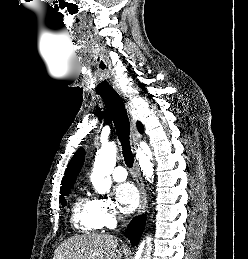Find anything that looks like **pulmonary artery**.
<instances>
[{"instance_id":"pulmonary-artery-1","label":"pulmonary artery","mask_w":248,"mask_h":259,"mask_svg":"<svg viewBox=\"0 0 248 259\" xmlns=\"http://www.w3.org/2000/svg\"><path fill=\"white\" fill-rule=\"evenodd\" d=\"M112 177L117 182H122L127 178V172L123 166H117L112 173Z\"/></svg>"}]
</instances>
